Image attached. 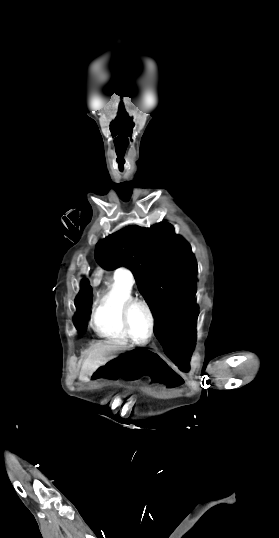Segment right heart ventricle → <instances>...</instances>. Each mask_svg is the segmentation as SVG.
Wrapping results in <instances>:
<instances>
[{"mask_svg":"<svg viewBox=\"0 0 279 538\" xmlns=\"http://www.w3.org/2000/svg\"><path fill=\"white\" fill-rule=\"evenodd\" d=\"M97 228L88 232V238L95 241L98 236ZM124 272L114 275L97 296L91 311V325L98 335L117 341H128L122 323L121 309L133 293V276L123 268Z\"/></svg>","mask_w":279,"mask_h":538,"instance_id":"right-heart-ventricle-1","label":"right heart ventricle"}]
</instances>
